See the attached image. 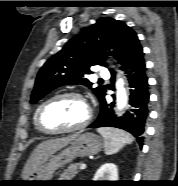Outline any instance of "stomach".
I'll return each mask as SVG.
<instances>
[{
	"mask_svg": "<svg viewBox=\"0 0 178 186\" xmlns=\"http://www.w3.org/2000/svg\"><path fill=\"white\" fill-rule=\"evenodd\" d=\"M101 138L90 132L79 134L59 152L52 154L24 181L31 186H45L52 181L55 171L70 163L76 157H85L97 154L102 148Z\"/></svg>",
	"mask_w": 178,
	"mask_h": 186,
	"instance_id": "1",
	"label": "stomach"
}]
</instances>
